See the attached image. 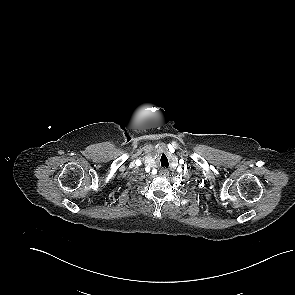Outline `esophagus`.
<instances>
[{
    "label": "esophagus",
    "instance_id": "1",
    "mask_svg": "<svg viewBox=\"0 0 295 295\" xmlns=\"http://www.w3.org/2000/svg\"><path fill=\"white\" fill-rule=\"evenodd\" d=\"M168 175H169L168 170H166V169H162V170H160V176H161V177H166V176H168Z\"/></svg>",
    "mask_w": 295,
    "mask_h": 295
}]
</instances>
